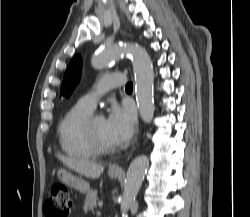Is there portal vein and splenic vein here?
I'll return each mask as SVG.
<instances>
[{"label":"portal vein and splenic vein","instance_id":"1","mask_svg":"<svg viewBox=\"0 0 250 217\" xmlns=\"http://www.w3.org/2000/svg\"><path fill=\"white\" fill-rule=\"evenodd\" d=\"M98 206H99V207H102V206H103V202H102V201H99V202H98Z\"/></svg>","mask_w":250,"mask_h":217}]
</instances>
